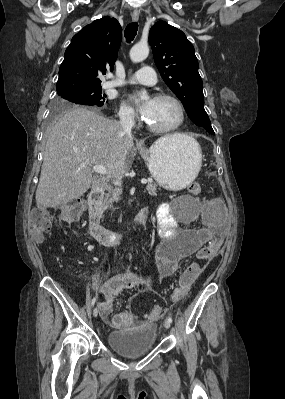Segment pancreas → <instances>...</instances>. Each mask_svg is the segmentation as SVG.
<instances>
[{
	"instance_id": "pancreas-1",
	"label": "pancreas",
	"mask_w": 285,
	"mask_h": 399,
	"mask_svg": "<svg viewBox=\"0 0 285 399\" xmlns=\"http://www.w3.org/2000/svg\"><path fill=\"white\" fill-rule=\"evenodd\" d=\"M146 190L150 195L155 196L158 188L154 182L150 181L146 186ZM121 193L122 191L119 188L109 189L108 193L105 194V197L101 203L102 211H105L107 209H113V204L114 202H118L120 200Z\"/></svg>"
}]
</instances>
